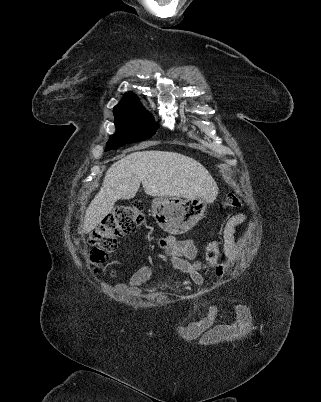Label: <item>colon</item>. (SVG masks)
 I'll return each mask as SVG.
<instances>
[{"label": "colon", "mask_w": 321, "mask_h": 402, "mask_svg": "<svg viewBox=\"0 0 321 402\" xmlns=\"http://www.w3.org/2000/svg\"><path fill=\"white\" fill-rule=\"evenodd\" d=\"M241 205L236 194H228L221 203L223 209H232ZM145 222L143 206L133 203L116 207L104 218L89 238V259L94 265L104 264L109 255L118 245V238L129 235L140 228ZM220 258V246L211 241L205 249V260L210 268H215Z\"/></svg>", "instance_id": "1"}]
</instances>
